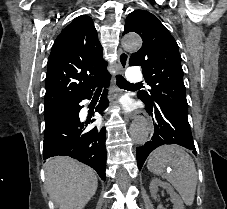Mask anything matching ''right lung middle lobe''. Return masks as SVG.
I'll list each match as a JSON object with an SVG mask.
<instances>
[{
	"label": "right lung middle lobe",
	"mask_w": 227,
	"mask_h": 209,
	"mask_svg": "<svg viewBox=\"0 0 227 209\" xmlns=\"http://www.w3.org/2000/svg\"><path fill=\"white\" fill-rule=\"evenodd\" d=\"M68 107V104H58L44 108L45 126L53 123Z\"/></svg>",
	"instance_id": "right-lung-middle-lobe-1"
}]
</instances>
